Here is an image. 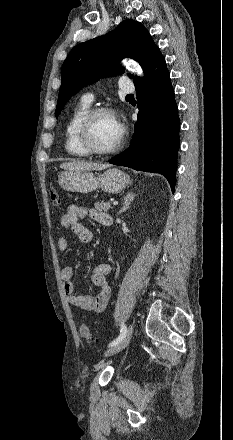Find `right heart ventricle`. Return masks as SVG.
Here are the masks:
<instances>
[{
    "label": "right heart ventricle",
    "instance_id": "obj_1",
    "mask_svg": "<svg viewBox=\"0 0 233 440\" xmlns=\"http://www.w3.org/2000/svg\"><path fill=\"white\" fill-rule=\"evenodd\" d=\"M89 110V104L81 102L73 109L67 121L65 127V150L71 156L80 158L88 156V153L78 143L77 129L82 118Z\"/></svg>",
    "mask_w": 233,
    "mask_h": 440
}]
</instances>
